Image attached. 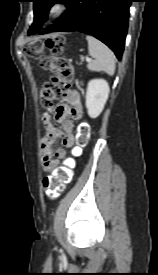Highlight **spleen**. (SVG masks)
Segmentation results:
<instances>
[{
	"mask_svg": "<svg viewBox=\"0 0 158 275\" xmlns=\"http://www.w3.org/2000/svg\"><path fill=\"white\" fill-rule=\"evenodd\" d=\"M89 54L94 58L89 62L87 67L91 71H104L112 76L115 72V56L114 53L101 41L88 35Z\"/></svg>",
	"mask_w": 158,
	"mask_h": 275,
	"instance_id": "obj_1",
	"label": "spleen"
}]
</instances>
